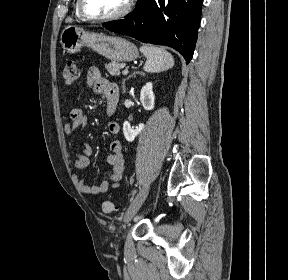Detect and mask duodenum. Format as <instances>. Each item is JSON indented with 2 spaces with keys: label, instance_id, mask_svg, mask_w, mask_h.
<instances>
[{
  "label": "duodenum",
  "instance_id": "obj_1",
  "mask_svg": "<svg viewBox=\"0 0 288 280\" xmlns=\"http://www.w3.org/2000/svg\"><path fill=\"white\" fill-rule=\"evenodd\" d=\"M118 100L114 99L109 103V110L111 113H114L117 108Z\"/></svg>",
  "mask_w": 288,
  "mask_h": 280
}]
</instances>
